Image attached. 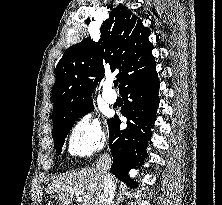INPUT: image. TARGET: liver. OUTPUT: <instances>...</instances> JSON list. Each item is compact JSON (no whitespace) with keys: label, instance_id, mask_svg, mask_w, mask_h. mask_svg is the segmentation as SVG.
<instances>
[{"label":"liver","instance_id":"liver-1","mask_svg":"<svg viewBox=\"0 0 222 205\" xmlns=\"http://www.w3.org/2000/svg\"><path fill=\"white\" fill-rule=\"evenodd\" d=\"M46 191L49 194L56 193V198L62 203L61 205H70L81 195L82 205H99L103 184L97 169L86 168L63 174L51 182Z\"/></svg>","mask_w":222,"mask_h":205}]
</instances>
